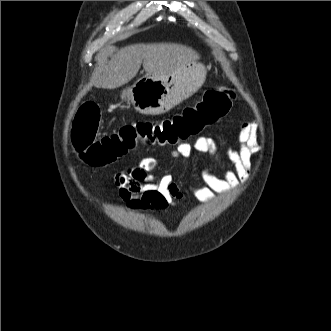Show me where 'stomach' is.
Segmentation results:
<instances>
[{
    "label": "stomach",
    "mask_w": 331,
    "mask_h": 331,
    "mask_svg": "<svg viewBox=\"0 0 331 331\" xmlns=\"http://www.w3.org/2000/svg\"><path fill=\"white\" fill-rule=\"evenodd\" d=\"M206 68L193 61L179 73L161 78L147 74L123 89L121 99L143 115H160L193 95L203 84Z\"/></svg>",
    "instance_id": "0dacf381"
}]
</instances>
